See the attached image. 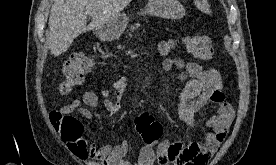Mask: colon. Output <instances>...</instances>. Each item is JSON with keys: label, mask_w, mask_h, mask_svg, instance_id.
Returning <instances> with one entry per match:
<instances>
[{"label": "colon", "mask_w": 276, "mask_h": 165, "mask_svg": "<svg viewBox=\"0 0 276 165\" xmlns=\"http://www.w3.org/2000/svg\"><path fill=\"white\" fill-rule=\"evenodd\" d=\"M187 49L198 59L211 60L214 56L213 44L207 36L193 35L185 40ZM170 49L169 44L163 46V50ZM94 61L84 53H73L63 66L64 79L60 85V91L68 94L80 86L85 76L92 71ZM51 122L62 139L69 145H79L83 133L81 122L73 116H64L58 111L50 115ZM137 131L142 135L146 144H153L162 134V127L149 113H142L135 119Z\"/></svg>", "instance_id": "5ec220e1"}]
</instances>
